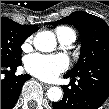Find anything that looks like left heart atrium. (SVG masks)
I'll use <instances>...</instances> for the list:
<instances>
[{
    "mask_svg": "<svg viewBox=\"0 0 109 109\" xmlns=\"http://www.w3.org/2000/svg\"><path fill=\"white\" fill-rule=\"evenodd\" d=\"M26 70L44 81H52L69 67V60L65 55L33 54L25 60Z\"/></svg>",
    "mask_w": 109,
    "mask_h": 109,
    "instance_id": "obj_1",
    "label": "left heart atrium"
}]
</instances>
